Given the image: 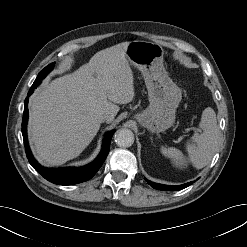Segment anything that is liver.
<instances>
[{
  "label": "liver",
  "instance_id": "liver-1",
  "mask_svg": "<svg viewBox=\"0 0 247 247\" xmlns=\"http://www.w3.org/2000/svg\"><path fill=\"white\" fill-rule=\"evenodd\" d=\"M129 42L97 52L73 73L38 89L29 102L28 134L37 160L57 166L77 157L96 136L102 114L112 121L134 99L126 58Z\"/></svg>",
  "mask_w": 247,
  "mask_h": 247
}]
</instances>
